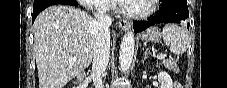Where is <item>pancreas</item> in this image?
Listing matches in <instances>:
<instances>
[{
	"label": "pancreas",
	"mask_w": 227,
	"mask_h": 88,
	"mask_svg": "<svg viewBox=\"0 0 227 88\" xmlns=\"http://www.w3.org/2000/svg\"><path fill=\"white\" fill-rule=\"evenodd\" d=\"M162 64L170 71H173L175 73L179 72V68L177 67V61L174 59H163Z\"/></svg>",
	"instance_id": "obj_1"
}]
</instances>
